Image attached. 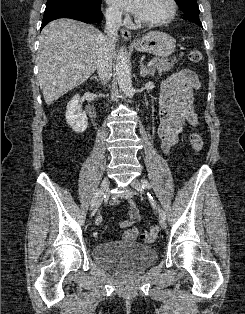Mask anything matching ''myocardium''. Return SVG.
<instances>
[{
  "label": "myocardium",
  "instance_id": "1",
  "mask_svg": "<svg viewBox=\"0 0 245 314\" xmlns=\"http://www.w3.org/2000/svg\"><path fill=\"white\" fill-rule=\"evenodd\" d=\"M167 2L169 4V11L166 15L155 20H143L136 16V23L140 26L156 27L170 22L176 16L178 6L176 0H167Z\"/></svg>",
  "mask_w": 245,
  "mask_h": 314
}]
</instances>
